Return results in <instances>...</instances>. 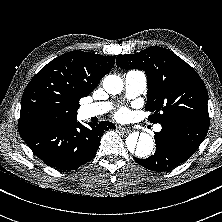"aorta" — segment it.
Listing matches in <instances>:
<instances>
[{
    "label": "aorta",
    "mask_w": 222,
    "mask_h": 222,
    "mask_svg": "<svg viewBox=\"0 0 222 222\" xmlns=\"http://www.w3.org/2000/svg\"><path fill=\"white\" fill-rule=\"evenodd\" d=\"M103 88L109 94L116 95L123 90V80L118 75H108L103 81ZM128 152L138 158L148 157L154 148V140L147 133H132L126 139Z\"/></svg>",
    "instance_id": "aorta-1"
}]
</instances>
